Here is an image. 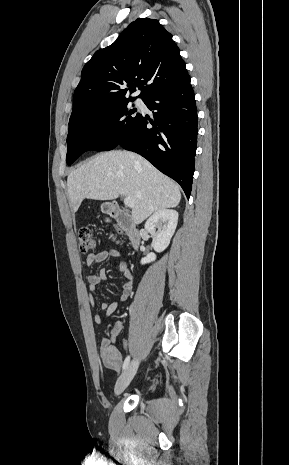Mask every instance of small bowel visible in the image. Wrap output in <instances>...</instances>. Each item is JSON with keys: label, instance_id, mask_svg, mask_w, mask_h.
Segmentation results:
<instances>
[{"label": "small bowel", "instance_id": "c3829d8e", "mask_svg": "<svg viewBox=\"0 0 289 465\" xmlns=\"http://www.w3.org/2000/svg\"><path fill=\"white\" fill-rule=\"evenodd\" d=\"M119 253L115 249H107L99 251L98 253H89L86 258L87 266L102 263L111 257H119ZM116 269L123 275L124 283L122 285L121 293L117 300L112 302H102L101 309L106 312L105 316L97 313L94 316L96 323L101 324L107 317L111 316L117 309L120 302L127 300L133 288V274L127 267L125 261H119L116 264ZM106 280V272L104 269L99 270L97 273H90L87 275L89 299L91 305L94 304L92 294L96 291L97 285ZM122 325L117 323L111 330L110 337H105L101 341L99 356L102 362L110 369L118 371L122 365L124 354L122 351L116 350L112 343L116 342L119 333L121 332ZM124 348V345H122Z\"/></svg>", "mask_w": 289, "mask_h": 465}]
</instances>
